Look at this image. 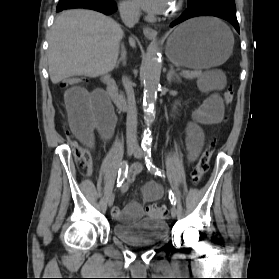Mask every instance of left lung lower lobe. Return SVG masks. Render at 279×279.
<instances>
[{"instance_id": "0a47b994", "label": "left lung lower lobe", "mask_w": 279, "mask_h": 279, "mask_svg": "<svg viewBox=\"0 0 279 279\" xmlns=\"http://www.w3.org/2000/svg\"><path fill=\"white\" fill-rule=\"evenodd\" d=\"M197 16H215L229 21L239 32L236 18V6L234 0H188V9L174 22L175 26L189 18Z\"/></svg>"}]
</instances>
